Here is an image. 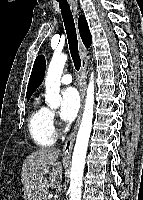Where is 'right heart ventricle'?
<instances>
[{"mask_svg": "<svg viewBox=\"0 0 143 200\" xmlns=\"http://www.w3.org/2000/svg\"><path fill=\"white\" fill-rule=\"evenodd\" d=\"M50 110L35 99L28 118V129L33 141L40 147H50L55 135L49 120Z\"/></svg>", "mask_w": 143, "mask_h": 200, "instance_id": "right-heart-ventricle-1", "label": "right heart ventricle"}]
</instances>
